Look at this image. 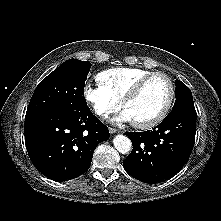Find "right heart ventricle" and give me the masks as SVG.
<instances>
[{"mask_svg": "<svg viewBox=\"0 0 221 221\" xmlns=\"http://www.w3.org/2000/svg\"><path fill=\"white\" fill-rule=\"evenodd\" d=\"M151 71L136 67H116L100 72L97 75L99 84L121 102L134 84Z\"/></svg>", "mask_w": 221, "mask_h": 221, "instance_id": "1", "label": "right heart ventricle"}]
</instances>
